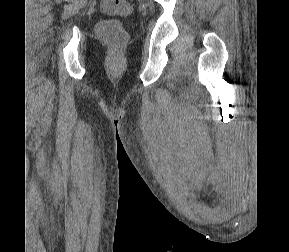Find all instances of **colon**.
I'll use <instances>...</instances> for the list:
<instances>
[{"instance_id": "colon-1", "label": "colon", "mask_w": 289, "mask_h": 252, "mask_svg": "<svg viewBox=\"0 0 289 252\" xmlns=\"http://www.w3.org/2000/svg\"><path fill=\"white\" fill-rule=\"evenodd\" d=\"M100 7L106 15L127 16L132 13V7L126 0H101ZM96 33L102 41L115 49H119L127 41V33L121 22L116 19L100 21Z\"/></svg>"}]
</instances>
